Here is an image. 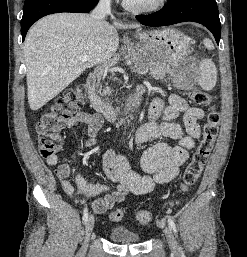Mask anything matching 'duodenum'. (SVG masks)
<instances>
[{
  "label": "duodenum",
  "mask_w": 247,
  "mask_h": 257,
  "mask_svg": "<svg viewBox=\"0 0 247 257\" xmlns=\"http://www.w3.org/2000/svg\"><path fill=\"white\" fill-rule=\"evenodd\" d=\"M96 84L97 75L95 73L89 74L85 82L88 99L93 109L101 113L109 120H116L117 118H119V116L124 114H133L138 110L141 105L142 95L145 91L143 86L137 87L136 91L131 96L124 110H119L108 105L98 96L96 92Z\"/></svg>",
  "instance_id": "410a0bca"
}]
</instances>
